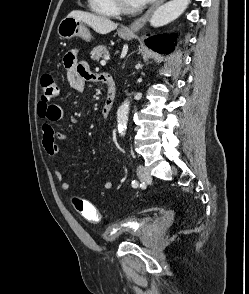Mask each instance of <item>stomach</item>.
I'll return each mask as SVG.
<instances>
[{
	"label": "stomach",
	"instance_id": "0dacf381",
	"mask_svg": "<svg viewBox=\"0 0 249 294\" xmlns=\"http://www.w3.org/2000/svg\"><path fill=\"white\" fill-rule=\"evenodd\" d=\"M57 33L62 40H70L76 36L81 37L86 41H89L91 38L90 32L87 30L83 22L69 16L60 21ZM118 36L122 39L130 40L133 33L121 29L118 31Z\"/></svg>",
	"mask_w": 249,
	"mask_h": 294
}]
</instances>
